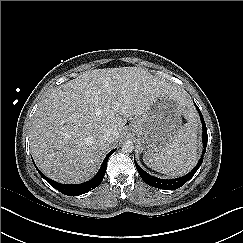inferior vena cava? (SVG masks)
I'll return each instance as SVG.
<instances>
[{"label": "inferior vena cava", "mask_w": 243, "mask_h": 243, "mask_svg": "<svg viewBox=\"0 0 243 243\" xmlns=\"http://www.w3.org/2000/svg\"><path fill=\"white\" fill-rule=\"evenodd\" d=\"M102 138L105 142H113L115 139V131L113 129H108L106 130L103 135Z\"/></svg>", "instance_id": "inferior-vena-cava-1"}]
</instances>
